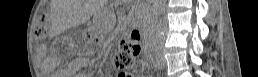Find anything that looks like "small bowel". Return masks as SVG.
Returning <instances> with one entry per match:
<instances>
[{
	"mask_svg": "<svg viewBox=\"0 0 258 77\" xmlns=\"http://www.w3.org/2000/svg\"><path fill=\"white\" fill-rule=\"evenodd\" d=\"M39 52L41 53V54H45L46 53V49H45V47H40L39 48ZM48 66H50V67H52V66H55L57 63H58V61L56 60V59H53V58H50V59H48Z\"/></svg>",
	"mask_w": 258,
	"mask_h": 77,
	"instance_id": "1",
	"label": "small bowel"
}]
</instances>
